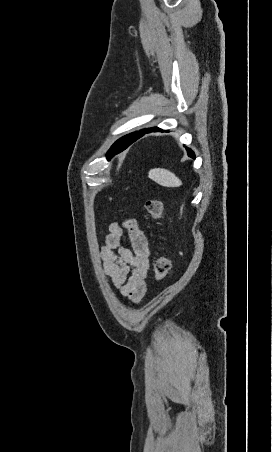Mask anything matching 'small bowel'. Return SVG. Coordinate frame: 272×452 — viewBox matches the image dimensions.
I'll use <instances>...</instances> for the list:
<instances>
[{
	"mask_svg": "<svg viewBox=\"0 0 272 452\" xmlns=\"http://www.w3.org/2000/svg\"><path fill=\"white\" fill-rule=\"evenodd\" d=\"M100 258L107 280L124 297L133 303L139 302L146 292L145 279L150 259L147 237L135 219L110 225L100 249Z\"/></svg>",
	"mask_w": 272,
	"mask_h": 452,
	"instance_id": "obj_1",
	"label": "small bowel"
}]
</instances>
